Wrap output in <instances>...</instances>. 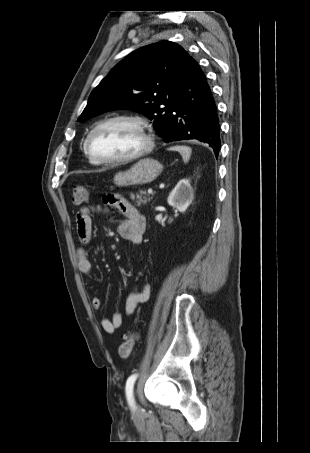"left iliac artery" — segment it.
I'll return each instance as SVG.
<instances>
[{
	"instance_id": "left-iliac-artery-1",
	"label": "left iliac artery",
	"mask_w": 310,
	"mask_h": 453,
	"mask_svg": "<svg viewBox=\"0 0 310 453\" xmlns=\"http://www.w3.org/2000/svg\"><path fill=\"white\" fill-rule=\"evenodd\" d=\"M137 374H132L131 376H129V378L127 379V382H126V387H125V391H126V396H127V400H128V403L130 406H134V398H133V388H134V383L137 379Z\"/></svg>"
}]
</instances>
